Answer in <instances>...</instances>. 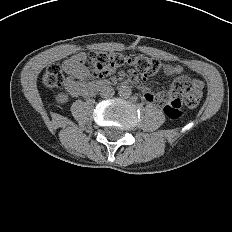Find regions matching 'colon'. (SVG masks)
Wrapping results in <instances>:
<instances>
[{"label": "colon", "mask_w": 232, "mask_h": 232, "mask_svg": "<svg viewBox=\"0 0 232 232\" xmlns=\"http://www.w3.org/2000/svg\"><path fill=\"white\" fill-rule=\"evenodd\" d=\"M77 64L86 62L91 66L94 75L103 77L113 73L123 65L135 68L143 76L158 74L162 63L154 58L146 56H127L112 52H92L88 59L79 56L75 58ZM64 65L53 64L49 66L43 76V83L47 87H60L66 80ZM201 98V89L191 85L189 78L177 79L169 93H160L155 102L159 104L167 117L177 119L182 117L188 109L195 108Z\"/></svg>", "instance_id": "1"}]
</instances>
